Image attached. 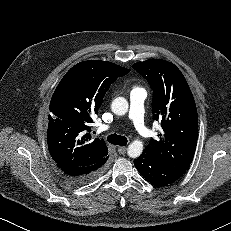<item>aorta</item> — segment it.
<instances>
[{
	"mask_svg": "<svg viewBox=\"0 0 231 231\" xmlns=\"http://www.w3.org/2000/svg\"><path fill=\"white\" fill-rule=\"evenodd\" d=\"M111 109L118 116L125 115L128 111V101L124 97H117L111 104ZM143 151V143L140 140L131 142L127 149V154L131 158H137Z\"/></svg>",
	"mask_w": 231,
	"mask_h": 231,
	"instance_id": "aorta-1",
	"label": "aorta"
}]
</instances>
